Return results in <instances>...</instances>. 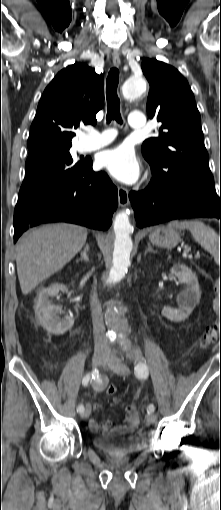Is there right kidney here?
I'll use <instances>...</instances> for the list:
<instances>
[{"instance_id":"1","label":"right kidney","mask_w":221,"mask_h":510,"mask_svg":"<svg viewBox=\"0 0 221 510\" xmlns=\"http://www.w3.org/2000/svg\"><path fill=\"white\" fill-rule=\"evenodd\" d=\"M67 287L63 284H52L47 288L41 289L35 299V315L44 329L48 332L60 335L64 334L67 330L71 329L74 325V319L72 316L65 318H59L57 314L61 313V308L56 305H52L49 301L50 297H53L61 290H66Z\"/></svg>"}]
</instances>
